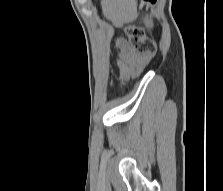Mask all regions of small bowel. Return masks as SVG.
I'll return each mask as SVG.
<instances>
[{"label": "small bowel", "instance_id": "c3829d8e", "mask_svg": "<svg viewBox=\"0 0 223 191\" xmlns=\"http://www.w3.org/2000/svg\"><path fill=\"white\" fill-rule=\"evenodd\" d=\"M116 46L119 53L118 65L120 68V78L126 81L142 71L146 63V58L133 50L123 38L116 40Z\"/></svg>", "mask_w": 223, "mask_h": 191}]
</instances>
